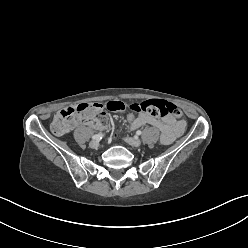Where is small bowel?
Masks as SVG:
<instances>
[{
  "mask_svg": "<svg viewBox=\"0 0 248 248\" xmlns=\"http://www.w3.org/2000/svg\"><path fill=\"white\" fill-rule=\"evenodd\" d=\"M135 116V115H134ZM145 125H151L160 131V141L164 145L171 144L176 138H178L184 131V121H177L172 116L164 118H155L147 114H139L135 116V119L130 124V129L135 130ZM111 141L114 145L120 144L119 131L113 130L111 135Z\"/></svg>",
  "mask_w": 248,
  "mask_h": 248,
  "instance_id": "small-bowel-1",
  "label": "small bowel"
}]
</instances>
